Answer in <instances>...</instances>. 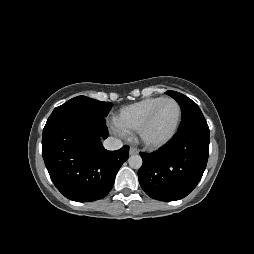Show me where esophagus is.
<instances>
[{
	"label": "esophagus",
	"instance_id": "34e87169",
	"mask_svg": "<svg viewBox=\"0 0 254 254\" xmlns=\"http://www.w3.org/2000/svg\"><path fill=\"white\" fill-rule=\"evenodd\" d=\"M139 151L138 149L134 148V147H130L129 149V154L133 155V154H137Z\"/></svg>",
	"mask_w": 254,
	"mask_h": 254
}]
</instances>
